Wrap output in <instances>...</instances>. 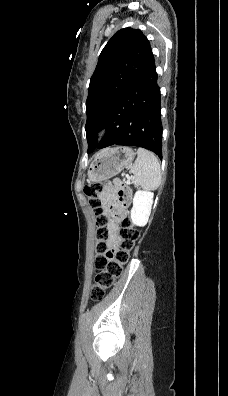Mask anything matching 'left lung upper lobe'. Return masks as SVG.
I'll use <instances>...</instances> for the list:
<instances>
[{"label":"left lung upper lobe","mask_w":228,"mask_h":396,"mask_svg":"<svg viewBox=\"0 0 228 396\" xmlns=\"http://www.w3.org/2000/svg\"><path fill=\"white\" fill-rule=\"evenodd\" d=\"M152 55L142 31L129 27L115 33L103 48L90 79L86 101L88 153L96 148L97 132L116 114L117 103Z\"/></svg>","instance_id":"left-lung-upper-lobe-1"}]
</instances>
